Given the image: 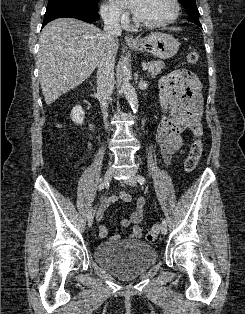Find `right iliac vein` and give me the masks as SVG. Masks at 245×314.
Segmentation results:
<instances>
[{
	"label": "right iliac vein",
	"mask_w": 245,
	"mask_h": 314,
	"mask_svg": "<svg viewBox=\"0 0 245 314\" xmlns=\"http://www.w3.org/2000/svg\"><path fill=\"white\" fill-rule=\"evenodd\" d=\"M112 176H113V169L112 168H108L105 175H104V184H108L111 179H112ZM88 218V226L91 227L92 224H93V219H94V213L92 212L89 217L87 216Z\"/></svg>",
	"instance_id": "63e3f726"
}]
</instances>
